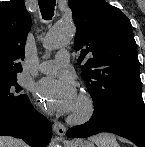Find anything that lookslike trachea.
Here are the masks:
<instances>
[{
  "mask_svg": "<svg viewBox=\"0 0 145 147\" xmlns=\"http://www.w3.org/2000/svg\"><path fill=\"white\" fill-rule=\"evenodd\" d=\"M38 4L43 18L50 20L54 15L56 0H39Z\"/></svg>",
  "mask_w": 145,
  "mask_h": 147,
  "instance_id": "obj_1",
  "label": "trachea"
}]
</instances>
